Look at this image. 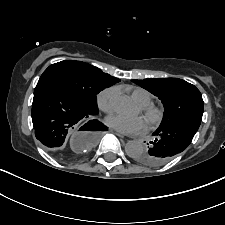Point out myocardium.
<instances>
[{
  "instance_id": "myocardium-1",
  "label": "myocardium",
  "mask_w": 225,
  "mask_h": 225,
  "mask_svg": "<svg viewBox=\"0 0 225 225\" xmlns=\"http://www.w3.org/2000/svg\"><path fill=\"white\" fill-rule=\"evenodd\" d=\"M140 111L143 113L149 125L152 127L158 126L164 118L163 109L154 104L140 106Z\"/></svg>"
}]
</instances>
